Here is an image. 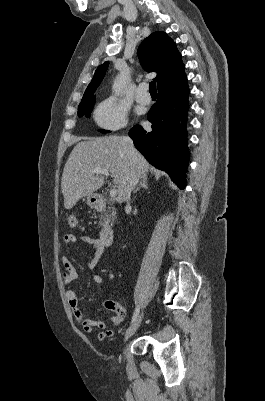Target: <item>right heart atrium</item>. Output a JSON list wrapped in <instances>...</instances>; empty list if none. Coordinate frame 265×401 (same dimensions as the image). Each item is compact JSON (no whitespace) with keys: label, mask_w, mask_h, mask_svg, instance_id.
I'll list each match as a JSON object with an SVG mask.
<instances>
[{"label":"right heart atrium","mask_w":265,"mask_h":401,"mask_svg":"<svg viewBox=\"0 0 265 401\" xmlns=\"http://www.w3.org/2000/svg\"><path fill=\"white\" fill-rule=\"evenodd\" d=\"M96 122L109 130H120L127 126V107L116 96L102 100L94 110Z\"/></svg>","instance_id":"1"}]
</instances>
